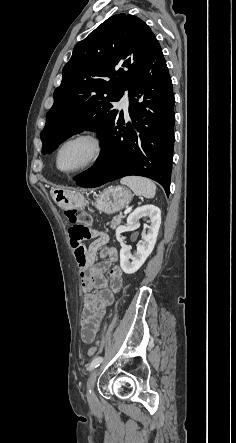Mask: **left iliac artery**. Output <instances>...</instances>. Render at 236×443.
Segmentation results:
<instances>
[{"instance_id": "44dca946", "label": "left iliac artery", "mask_w": 236, "mask_h": 443, "mask_svg": "<svg viewBox=\"0 0 236 443\" xmlns=\"http://www.w3.org/2000/svg\"><path fill=\"white\" fill-rule=\"evenodd\" d=\"M103 361L102 357H96L92 360V362L90 363V366L88 368L89 371H91L92 369L96 368L97 366L100 365V363Z\"/></svg>"}]
</instances>
